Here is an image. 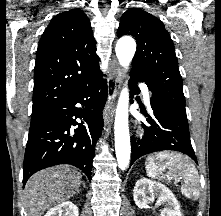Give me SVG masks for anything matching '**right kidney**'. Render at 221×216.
Wrapping results in <instances>:
<instances>
[{
	"mask_svg": "<svg viewBox=\"0 0 221 216\" xmlns=\"http://www.w3.org/2000/svg\"><path fill=\"white\" fill-rule=\"evenodd\" d=\"M44 216H79L78 207L66 201L51 208Z\"/></svg>",
	"mask_w": 221,
	"mask_h": 216,
	"instance_id": "obj_1",
	"label": "right kidney"
}]
</instances>
